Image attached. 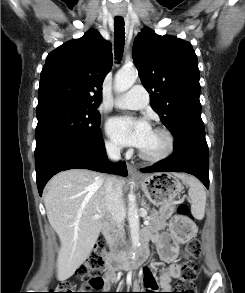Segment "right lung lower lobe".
Returning a JSON list of instances; mask_svg holds the SVG:
<instances>
[{
  "label": "right lung lower lobe",
  "instance_id": "obj_1",
  "mask_svg": "<svg viewBox=\"0 0 245 293\" xmlns=\"http://www.w3.org/2000/svg\"><path fill=\"white\" fill-rule=\"evenodd\" d=\"M35 167L40 195L48 180L63 170L81 168L127 176L125 162L117 165L109 163L102 136L95 140L66 141L56 144L35 159Z\"/></svg>",
  "mask_w": 245,
  "mask_h": 293
}]
</instances>
